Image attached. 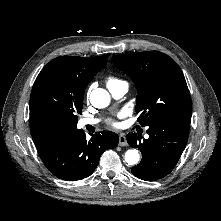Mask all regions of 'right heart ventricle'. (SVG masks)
<instances>
[{
    "mask_svg": "<svg viewBox=\"0 0 221 221\" xmlns=\"http://www.w3.org/2000/svg\"><path fill=\"white\" fill-rule=\"evenodd\" d=\"M121 82H123V81H121L120 79H117V78H114V77H109L107 79V86L117 85Z\"/></svg>",
    "mask_w": 221,
    "mask_h": 221,
    "instance_id": "right-heart-ventricle-1",
    "label": "right heart ventricle"
}]
</instances>
